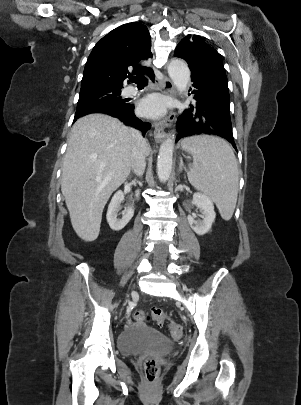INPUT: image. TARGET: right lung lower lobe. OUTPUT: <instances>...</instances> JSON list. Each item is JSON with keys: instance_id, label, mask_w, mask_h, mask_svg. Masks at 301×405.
Masks as SVG:
<instances>
[{"instance_id": "1", "label": "right lung lower lobe", "mask_w": 301, "mask_h": 405, "mask_svg": "<svg viewBox=\"0 0 301 405\" xmlns=\"http://www.w3.org/2000/svg\"><path fill=\"white\" fill-rule=\"evenodd\" d=\"M148 75L150 76L151 80H153V78H154L153 71H150L148 73ZM90 113H103V114L110 115L112 117H116V118L120 119L124 124L141 130L144 134L151 127V124L146 123V122H142L141 120H139L135 116V114H134V106L129 105V104L127 106H125V107H104V108H99L97 110L87 112V113L82 114V115H76L75 114L74 121L77 118H79V117H81L83 115H86V114H90Z\"/></svg>"}]
</instances>
